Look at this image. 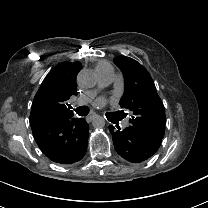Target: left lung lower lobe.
Segmentation results:
<instances>
[{
  "instance_id": "left-lung-lower-lobe-1",
  "label": "left lung lower lobe",
  "mask_w": 208,
  "mask_h": 208,
  "mask_svg": "<svg viewBox=\"0 0 208 208\" xmlns=\"http://www.w3.org/2000/svg\"><path fill=\"white\" fill-rule=\"evenodd\" d=\"M109 130L115 150L122 158L131 163H140L151 158L162 142V139L156 135L131 124L123 130L110 125Z\"/></svg>"
}]
</instances>
